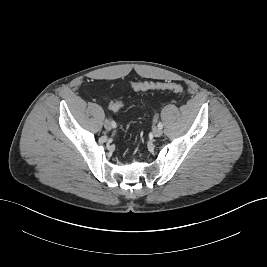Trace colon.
I'll list each match as a JSON object with an SVG mask.
<instances>
[{
  "label": "colon",
  "mask_w": 267,
  "mask_h": 267,
  "mask_svg": "<svg viewBox=\"0 0 267 267\" xmlns=\"http://www.w3.org/2000/svg\"><path fill=\"white\" fill-rule=\"evenodd\" d=\"M130 86L136 91H150V90H169L177 93L183 92V87L178 83H149V82H132ZM124 104L120 101H113L109 103V108L112 111H119Z\"/></svg>",
  "instance_id": "5ec220e1"
}]
</instances>
